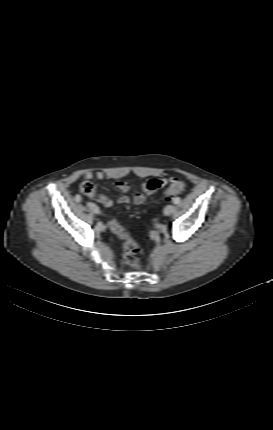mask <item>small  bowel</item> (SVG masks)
Masks as SVG:
<instances>
[{"mask_svg":"<svg viewBox=\"0 0 273 430\" xmlns=\"http://www.w3.org/2000/svg\"><path fill=\"white\" fill-rule=\"evenodd\" d=\"M84 176L86 179H92L93 177H95L100 180L105 177V173L102 171H97L95 173L88 171L85 173ZM169 181L170 179L168 178H153V179L147 180L141 185L140 190L136 192L133 195V197L123 195L119 197L117 201L119 204H122V205H126L129 203H133L135 205H141L144 202H146V200L150 196L155 194L160 188L165 186ZM116 187L122 192L127 193L131 189V184L127 181H119L116 183ZM98 201L105 207H111L114 203V201L104 193H101L98 196Z\"/></svg>","mask_w":273,"mask_h":430,"instance_id":"c3829d8e","label":"small bowel"}]
</instances>
